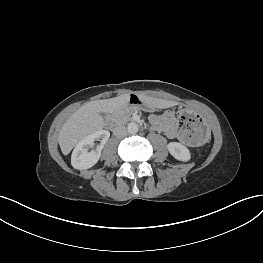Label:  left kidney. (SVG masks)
Listing matches in <instances>:
<instances>
[{
	"mask_svg": "<svg viewBox=\"0 0 263 263\" xmlns=\"http://www.w3.org/2000/svg\"><path fill=\"white\" fill-rule=\"evenodd\" d=\"M167 148L170 154L177 160L186 162L191 158L188 148L181 143L170 142Z\"/></svg>",
	"mask_w": 263,
	"mask_h": 263,
	"instance_id": "5707ae66",
	"label": "left kidney"
}]
</instances>
